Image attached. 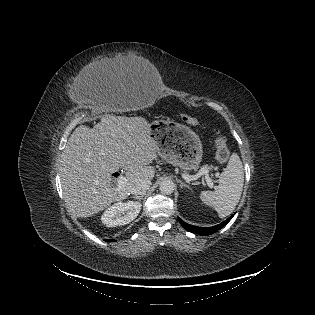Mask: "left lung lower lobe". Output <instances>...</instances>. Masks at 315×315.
<instances>
[{
	"label": "left lung lower lobe",
	"mask_w": 315,
	"mask_h": 315,
	"mask_svg": "<svg viewBox=\"0 0 315 315\" xmlns=\"http://www.w3.org/2000/svg\"><path fill=\"white\" fill-rule=\"evenodd\" d=\"M234 215H232L231 217H229L227 220H225L224 222L213 226V227H197V226H193L190 224L185 223L184 221H182L180 218H178L179 222L181 223V225L189 232L194 233V234H198L201 236H206V235H210L213 234L215 232H217L219 229H221L222 227H224L233 217Z\"/></svg>",
	"instance_id": "left-lung-lower-lobe-1"
}]
</instances>
